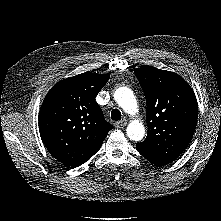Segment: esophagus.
<instances>
[{
    "mask_svg": "<svg viewBox=\"0 0 221 221\" xmlns=\"http://www.w3.org/2000/svg\"><path fill=\"white\" fill-rule=\"evenodd\" d=\"M127 124L126 120H121L115 123V127L116 128H124Z\"/></svg>",
    "mask_w": 221,
    "mask_h": 221,
    "instance_id": "1",
    "label": "esophagus"
}]
</instances>
